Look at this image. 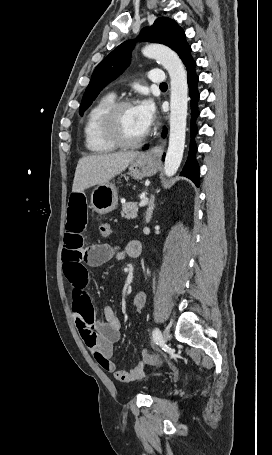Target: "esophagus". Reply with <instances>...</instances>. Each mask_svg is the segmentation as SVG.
I'll return each mask as SVG.
<instances>
[{"instance_id": "34e87169", "label": "esophagus", "mask_w": 272, "mask_h": 455, "mask_svg": "<svg viewBox=\"0 0 272 455\" xmlns=\"http://www.w3.org/2000/svg\"><path fill=\"white\" fill-rule=\"evenodd\" d=\"M162 153V149L159 146L153 147L150 151L149 154L153 155L154 157H159Z\"/></svg>"}]
</instances>
